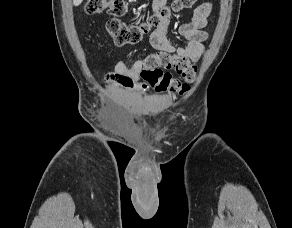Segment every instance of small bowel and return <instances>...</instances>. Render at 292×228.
<instances>
[{
  "instance_id": "c3829d8e",
  "label": "small bowel",
  "mask_w": 292,
  "mask_h": 228,
  "mask_svg": "<svg viewBox=\"0 0 292 228\" xmlns=\"http://www.w3.org/2000/svg\"><path fill=\"white\" fill-rule=\"evenodd\" d=\"M165 1L153 0V12L158 13L164 6ZM211 10L212 3L209 1L203 2L195 9L192 20L179 26V34L187 40V44L184 47L176 48L167 39L168 18H163L157 29L150 35L151 46L157 50V54L171 55L183 60L188 65H193L200 59L205 49L208 34L204 31V28L207 25V18ZM144 66L145 59H134L130 65L118 62L115 65V71L132 78L134 81H138Z\"/></svg>"
}]
</instances>
